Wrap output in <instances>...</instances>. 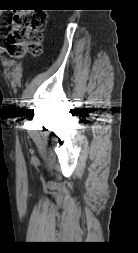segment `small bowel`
<instances>
[{
	"mask_svg": "<svg viewBox=\"0 0 138 253\" xmlns=\"http://www.w3.org/2000/svg\"><path fill=\"white\" fill-rule=\"evenodd\" d=\"M4 48L0 46V55H2L4 53Z\"/></svg>",
	"mask_w": 138,
	"mask_h": 253,
	"instance_id": "obj_1",
	"label": "small bowel"
}]
</instances>
